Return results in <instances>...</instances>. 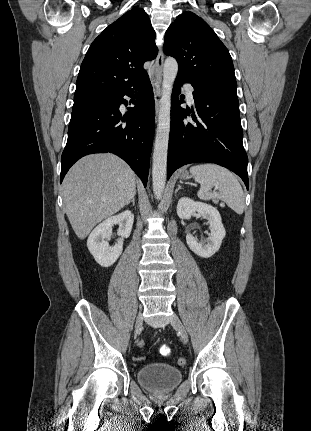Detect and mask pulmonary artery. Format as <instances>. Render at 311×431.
Masks as SVG:
<instances>
[{"label": "pulmonary artery", "instance_id": "e3ab8cb5", "mask_svg": "<svg viewBox=\"0 0 311 431\" xmlns=\"http://www.w3.org/2000/svg\"><path fill=\"white\" fill-rule=\"evenodd\" d=\"M183 90L191 103H194L193 88L190 84H185Z\"/></svg>", "mask_w": 311, "mask_h": 431}]
</instances>
